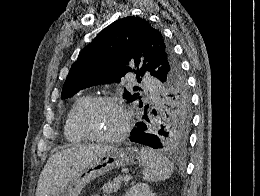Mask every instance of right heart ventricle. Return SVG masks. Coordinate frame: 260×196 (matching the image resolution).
Listing matches in <instances>:
<instances>
[{"label":"right heart ventricle","instance_id":"right-heart-ventricle-1","mask_svg":"<svg viewBox=\"0 0 260 196\" xmlns=\"http://www.w3.org/2000/svg\"><path fill=\"white\" fill-rule=\"evenodd\" d=\"M89 95L79 96L69 110L64 124V135L66 140L73 145L86 140L76 127V116L79 109L90 99Z\"/></svg>","mask_w":260,"mask_h":196}]
</instances>
